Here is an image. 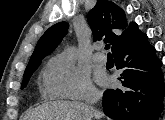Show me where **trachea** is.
<instances>
[{"mask_svg":"<svg viewBox=\"0 0 165 120\" xmlns=\"http://www.w3.org/2000/svg\"><path fill=\"white\" fill-rule=\"evenodd\" d=\"M105 49H106V50L110 49V45H109V44H106V45H105Z\"/></svg>","mask_w":165,"mask_h":120,"instance_id":"1","label":"trachea"}]
</instances>
